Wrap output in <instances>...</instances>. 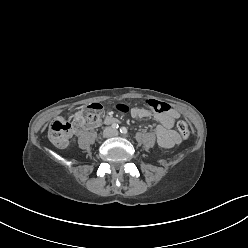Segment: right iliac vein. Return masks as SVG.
<instances>
[{
  "instance_id": "1",
  "label": "right iliac vein",
  "mask_w": 248,
  "mask_h": 248,
  "mask_svg": "<svg viewBox=\"0 0 248 248\" xmlns=\"http://www.w3.org/2000/svg\"><path fill=\"white\" fill-rule=\"evenodd\" d=\"M111 135H112L111 129H106V130H104V132H103V134H102V136H103L104 138H108V137H110Z\"/></svg>"
}]
</instances>
